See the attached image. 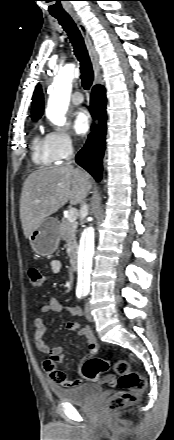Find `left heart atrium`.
<instances>
[{
  "mask_svg": "<svg viewBox=\"0 0 174 440\" xmlns=\"http://www.w3.org/2000/svg\"><path fill=\"white\" fill-rule=\"evenodd\" d=\"M91 118L85 109H80L74 113L73 129L77 135H84L89 130Z\"/></svg>",
  "mask_w": 174,
  "mask_h": 440,
  "instance_id": "obj_1",
  "label": "left heart atrium"
}]
</instances>
